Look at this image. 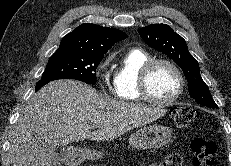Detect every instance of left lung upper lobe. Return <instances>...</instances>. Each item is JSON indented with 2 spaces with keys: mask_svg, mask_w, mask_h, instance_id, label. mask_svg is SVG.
I'll return each instance as SVG.
<instances>
[{
  "mask_svg": "<svg viewBox=\"0 0 231 166\" xmlns=\"http://www.w3.org/2000/svg\"><path fill=\"white\" fill-rule=\"evenodd\" d=\"M146 44L173 59L183 70L187 80L190 96L197 103L217 108L211 93L200 76L196 59L189 53L185 40L175 33L167 24H153L138 30Z\"/></svg>",
  "mask_w": 231,
  "mask_h": 166,
  "instance_id": "left-lung-upper-lobe-1",
  "label": "left lung upper lobe"
}]
</instances>
